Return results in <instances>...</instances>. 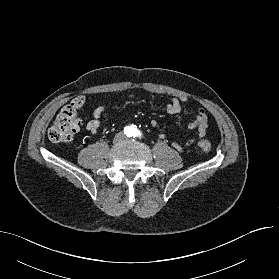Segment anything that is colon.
I'll return each instance as SVG.
<instances>
[{"label": "colon", "mask_w": 279, "mask_h": 279, "mask_svg": "<svg viewBox=\"0 0 279 279\" xmlns=\"http://www.w3.org/2000/svg\"><path fill=\"white\" fill-rule=\"evenodd\" d=\"M82 105L83 99L76 98L61 110L48 132L49 139L52 142L63 143L73 139L81 126L79 110ZM211 147V142L207 138H201L197 143V149L202 153L209 152Z\"/></svg>", "instance_id": "1"}]
</instances>
